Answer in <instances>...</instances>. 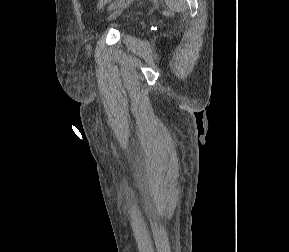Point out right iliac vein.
Instances as JSON below:
<instances>
[{
    "mask_svg": "<svg viewBox=\"0 0 289 252\" xmlns=\"http://www.w3.org/2000/svg\"><path fill=\"white\" fill-rule=\"evenodd\" d=\"M133 0H123V2L117 7V9L111 13L109 16V20L115 19L118 15L122 13V11L132 2Z\"/></svg>",
    "mask_w": 289,
    "mask_h": 252,
    "instance_id": "obj_1",
    "label": "right iliac vein"
}]
</instances>
